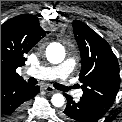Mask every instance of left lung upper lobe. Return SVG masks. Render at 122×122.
Instances as JSON below:
<instances>
[{"label":"left lung upper lobe","instance_id":"1","mask_svg":"<svg viewBox=\"0 0 122 122\" xmlns=\"http://www.w3.org/2000/svg\"><path fill=\"white\" fill-rule=\"evenodd\" d=\"M73 32L82 68L79 80L83 97L111 107L120 87L119 64L108 42L85 23L73 21Z\"/></svg>","mask_w":122,"mask_h":122}]
</instances>
